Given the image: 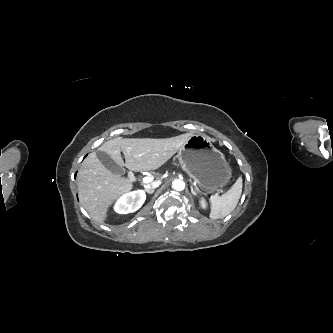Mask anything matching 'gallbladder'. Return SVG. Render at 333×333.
Wrapping results in <instances>:
<instances>
[{
  "instance_id": "gallbladder-1",
  "label": "gallbladder",
  "mask_w": 333,
  "mask_h": 333,
  "mask_svg": "<svg viewBox=\"0 0 333 333\" xmlns=\"http://www.w3.org/2000/svg\"><path fill=\"white\" fill-rule=\"evenodd\" d=\"M96 155L100 162L113 174L120 176L125 174L126 170L122 166L116 164L107 153L103 151H97Z\"/></svg>"
}]
</instances>
